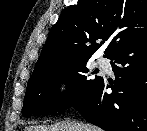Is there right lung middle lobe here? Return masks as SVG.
Here are the masks:
<instances>
[{
  "label": "right lung middle lobe",
  "mask_w": 147,
  "mask_h": 131,
  "mask_svg": "<svg viewBox=\"0 0 147 131\" xmlns=\"http://www.w3.org/2000/svg\"><path fill=\"white\" fill-rule=\"evenodd\" d=\"M79 61L67 66L54 68L30 77L22 109L23 116L35 113H53L77 104L101 79H88L81 74L88 72L86 62ZM68 84L66 93L57 94L58 84Z\"/></svg>",
  "instance_id": "right-lung-middle-lobe-1"
}]
</instances>
